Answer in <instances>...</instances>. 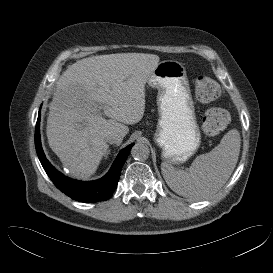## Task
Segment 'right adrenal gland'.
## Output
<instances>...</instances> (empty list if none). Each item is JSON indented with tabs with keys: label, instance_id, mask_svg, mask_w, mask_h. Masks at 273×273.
Masks as SVG:
<instances>
[{
	"label": "right adrenal gland",
	"instance_id": "1",
	"mask_svg": "<svg viewBox=\"0 0 273 273\" xmlns=\"http://www.w3.org/2000/svg\"><path fill=\"white\" fill-rule=\"evenodd\" d=\"M109 153H110V150H108V152L105 154V159L108 158Z\"/></svg>",
	"mask_w": 273,
	"mask_h": 273
}]
</instances>
